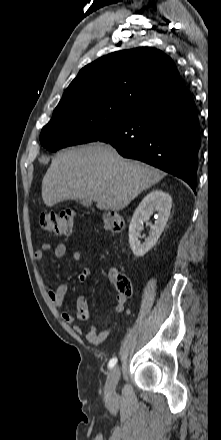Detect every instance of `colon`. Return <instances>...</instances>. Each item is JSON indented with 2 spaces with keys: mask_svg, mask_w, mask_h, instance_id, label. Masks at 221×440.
<instances>
[{
  "mask_svg": "<svg viewBox=\"0 0 221 440\" xmlns=\"http://www.w3.org/2000/svg\"><path fill=\"white\" fill-rule=\"evenodd\" d=\"M39 223L45 231L70 236L75 232L76 213L72 209L45 211L40 215ZM103 227L110 233H120L124 229V221L119 214L109 211L103 216ZM114 285L118 295L126 298L132 295V283L128 276L121 273L114 275Z\"/></svg>",
  "mask_w": 221,
  "mask_h": 440,
  "instance_id": "1",
  "label": "colon"
}]
</instances>
